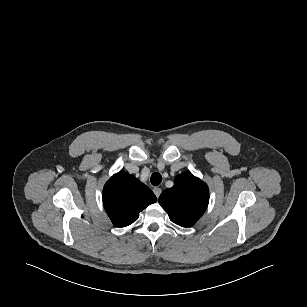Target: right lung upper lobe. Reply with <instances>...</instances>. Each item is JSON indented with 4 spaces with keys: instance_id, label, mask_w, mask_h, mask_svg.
I'll return each instance as SVG.
<instances>
[{
    "instance_id": "1",
    "label": "right lung upper lobe",
    "mask_w": 307,
    "mask_h": 307,
    "mask_svg": "<svg viewBox=\"0 0 307 307\" xmlns=\"http://www.w3.org/2000/svg\"><path fill=\"white\" fill-rule=\"evenodd\" d=\"M156 201V196L145 184L125 172L114 174L103 188V204L116 227L132 224L139 212Z\"/></svg>"
}]
</instances>
